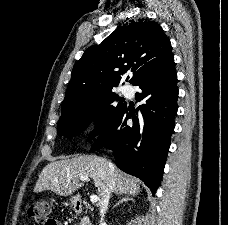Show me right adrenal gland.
<instances>
[{
	"instance_id": "right-adrenal-gland-1",
	"label": "right adrenal gland",
	"mask_w": 228,
	"mask_h": 225,
	"mask_svg": "<svg viewBox=\"0 0 228 225\" xmlns=\"http://www.w3.org/2000/svg\"><path fill=\"white\" fill-rule=\"evenodd\" d=\"M126 201H133V199H129V197H125V199H121V201H118V203L114 205L113 209H115V207H118V205H121V203H126Z\"/></svg>"
}]
</instances>
